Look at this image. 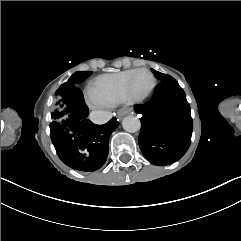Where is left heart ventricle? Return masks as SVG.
Returning a JSON list of instances; mask_svg holds the SVG:
<instances>
[{"label":"left heart ventricle","mask_w":241,"mask_h":241,"mask_svg":"<svg viewBox=\"0 0 241 241\" xmlns=\"http://www.w3.org/2000/svg\"><path fill=\"white\" fill-rule=\"evenodd\" d=\"M150 77L148 75H141L134 81H131L127 84V91L132 95H143L145 93V88L150 84Z\"/></svg>","instance_id":"b2bd125f"}]
</instances>
